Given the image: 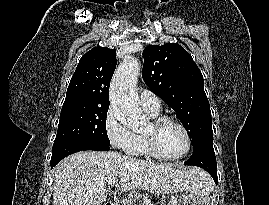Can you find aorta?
<instances>
[{"label":"aorta","mask_w":269,"mask_h":205,"mask_svg":"<svg viewBox=\"0 0 269 205\" xmlns=\"http://www.w3.org/2000/svg\"><path fill=\"white\" fill-rule=\"evenodd\" d=\"M140 63L133 57H125L116 70L110 86V104L114 116L123 125L137 129L145 121L136 94Z\"/></svg>","instance_id":"762f6f07"}]
</instances>
